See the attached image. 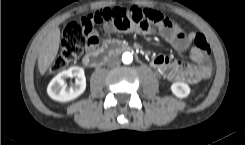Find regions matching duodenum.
Listing matches in <instances>:
<instances>
[{"instance_id":"obj_1","label":"duodenum","mask_w":245,"mask_h":145,"mask_svg":"<svg viewBox=\"0 0 245 145\" xmlns=\"http://www.w3.org/2000/svg\"><path fill=\"white\" fill-rule=\"evenodd\" d=\"M128 51L135 53V47L121 43L117 40H109L100 47L90 49L84 56L83 62L90 68L99 67L113 53Z\"/></svg>"}]
</instances>
